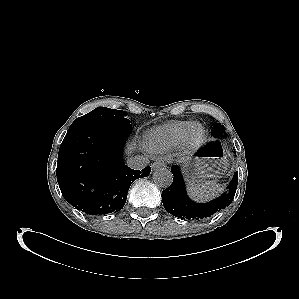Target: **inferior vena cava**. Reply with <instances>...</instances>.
<instances>
[{
    "mask_svg": "<svg viewBox=\"0 0 299 299\" xmlns=\"http://www.w3.org/2000/svg\"><path fill=\"white\" fill-rule=\"evenodd\" d=\"M149 163V159L146 156L143 155H136L134 157H131L127 160V165L136 170H141L144 167H146Z\"/></svg>",
    "mask_w": 299,
    "mask_h": 299,
    "instance_id": "1",
    "label": "inferior vena cava"
}]
</instances>
